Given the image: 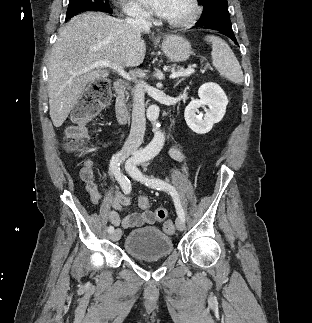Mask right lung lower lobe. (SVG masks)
Here are the masks:
<instances>
[{
  "mask_svg": "<svg viewBox=\"0 0 312 323\" xmlns=\"http://www.w3.org/2000/svg\"><path fill=\"white\" fill-rule=\"evenodd\" d=\"M107 13H110V14H111V13H112V11H111V10H109ZM67 20H68V19H66V21H67Z\"/></svg>",
  "mask_w": 312,
  "mask_h": 323,
  "instance_id": "right-lung-lower-lobe-1",
  "label": "right lung lower lobe"
}]
</instances>
